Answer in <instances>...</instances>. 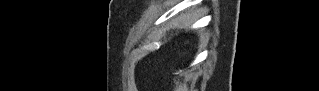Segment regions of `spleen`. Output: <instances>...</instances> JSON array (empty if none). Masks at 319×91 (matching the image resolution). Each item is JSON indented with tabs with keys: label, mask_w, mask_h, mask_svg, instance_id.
<instances>
[{
	"label": "spleen",
	"mask_w": 319,
	"mask_h": 91,
	"mask_svg": "<svg viewBox=\"0 0 319 91\" xmlns=\"http://www.w3.org/2000/svg\"><path fill=\"white\" fill-rule=\"evenodd\" d=\"M183 20H184L186 26H188L192 23V20H189L186 15L183 16Z\"/></svg>",
	"instance_id": "3e777b00"
}]
</instances>
